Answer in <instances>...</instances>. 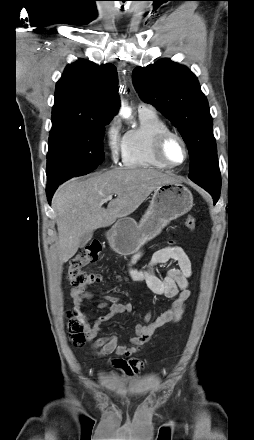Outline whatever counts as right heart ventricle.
I'll list each match as a JSON object with an SVG mask.
<instances>
[{
	"label": "right heart ventricle",
	"instance_id": "right-heart-ventricle-1",
	"mask_svg": "<svg viewBox=\"0 0 254 440\" xmlns=\"http://www.w3.org/2000/svg\"><path fill=\"white\" fill-rule=\"evenodd\" d=\"M140 124L125 134L122 162L125 167L166 170L153 154L155 137L169 129L155 111L139 112Z\"/></svg>",
	"mask_w": 254,
	"mask_h": 440
}]
</instances>
